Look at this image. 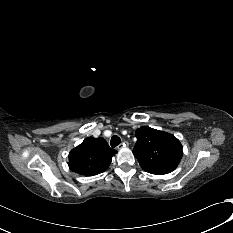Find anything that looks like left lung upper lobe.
<instances>
[{"instance_id": "5c2ea615", "label": "left lung upper lobe", "mask_w": 233, "mask_h": 233, "mask_svg": "<svg viewBox=\"0 0 233 233\" xmlns=\"http://www.w3.org/2000/svg\"><path fill=\"white\" fill-rule=\"evenodd\" d=\"M136 138L133 154L144 171L164 175L178 166L183 151L174 135L145 126L136 130Z\"/></svg>"}]
</instances>
